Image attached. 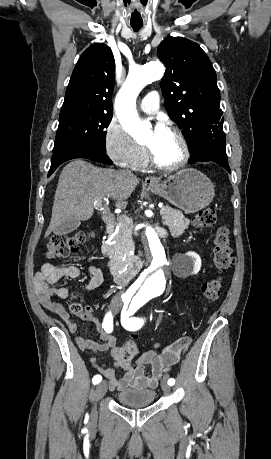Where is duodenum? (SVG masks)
<instances>
[{
    "mask_svg": "<svg viewBox=\"0 0 271 459\" xmlns=\"http://www.w3.org/2000/svg\"><path fill=\"white\" fill-rule=\"evenodd\" d=\"M114 227H115V221L112 218L107 219L105 222L106 232L108 233L112 232L114 230ZM141 267H142L141 260L138 258H135L130 262V264L125 270L115 272L113 274V281L115 282V284L119 286H125L136 276V274L139 272Z\"/></svg>",
    "mask_w": 271,
    "mask_h": 459,
    "instance_id": "1",
    "label": "duodenum"
}]
</instances>
